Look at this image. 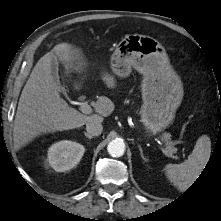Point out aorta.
I'll use <instances>...</instances> for the list:
<instances>
[{"mask_svg": "<svg viewBox=\"0 0 221 221\" xmlns=\"http://www.w3.org/2000/svg\"><path fill=\"white\" fill-rule=\"evenodd\" d=\"M108 153L113 157H121L125 151V144L120 139L109 142L107 146Z\"/></svg>", "mask_w": 221, "mask_h": 221, "instance_id": "762f6f07", "label": "aorta"}]
</instances>
